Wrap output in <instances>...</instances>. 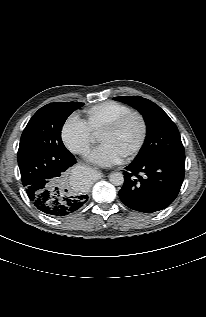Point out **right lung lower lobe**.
Returning <instances> with one entry per match:
<instances>
[{
    "instance_id": "obj_1",
    "label": "right lung lower lobe",
    "mask_w": 206,
    "mask_h": 317,
    "mask_svg": "<svg viewBox=\"0 0 206 317\" xmlns=\"http://www.w3.org/2000/svg\"><path fill=\"white\" fill-rule=\"evenodd\" d=\"M59 161L55 171L33 177L24 186L29 199L39 210L54 216H66L81 208L88 196L67 190L65 184L54 183L59 172H65L76 163L72 154Z\"/></svg>"
}]
</instances>
